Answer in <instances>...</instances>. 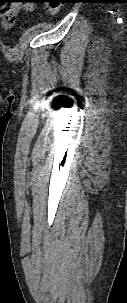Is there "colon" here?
Instances as JSON below:
<instances>
[{
	"mask_svg": "<svg viewBox=\"0 0 127 303\" xmlns=\"http://www.w3.org/2000/svg\"><path fill=\"white\" fill-rule=\"evenodd\" d=\"M49 12L51 15H56L60 11V4L57 0H49Z\"/></svg>",
	"mask_w": 127,
	"mask_h": 303,
	"instance_id": "5ec220e1",
	"label": "colon"
}]
</instances>
